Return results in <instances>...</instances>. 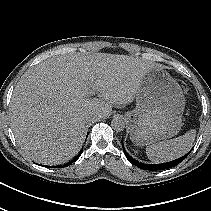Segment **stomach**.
I'll return each mask as SVG.
<instances>
[{
  "instance_id": "stomach-1",
  "label": "stomach",
  "mask_w": 211,
  "mask_h": 211,
  "mask_svg": "<svg viewBox=\"0 0 211 211\" xmlns=\"http://www.w3.org/2000/svg\"><path fill=\"white\" fill-rule=\"evenodd\" d=\"M184 108L180 85L167 71L154 66L142 79L135 109L125 115L131 140L143 146L177 135Z\"/></svg>"
}]
</instances>
